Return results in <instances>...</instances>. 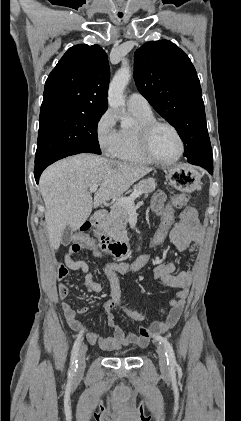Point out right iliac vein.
<instances>
[{
  "instance_id": "obj_1",
  "label": "right iliac vein",
  "mask_w": 241,
  "mask_h": 421,
  "mask_svg": "<svg viewBox=\"0 0 241 421\" xmlns=\"http://www.w3.org/2000/svg\"><path fill=\"white\" fill-rule=\"evenodd\" d=\"M86 354H87V346L84 344L82 345L79 351V355H78L77 374H81L84 372L85 365H86Z\"/></svg>"
}]
</instances>
